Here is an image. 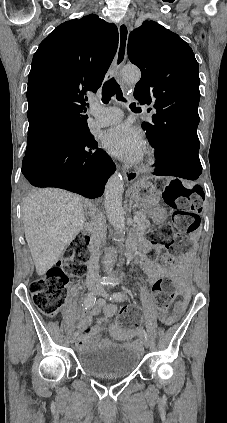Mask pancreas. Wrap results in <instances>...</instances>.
<instances>
[{"instance_id": "pancreas-1", "label": "pancreas", "mask_w": 227, "mask_h": 423, "mask_svg": "<svg viewBox=\"0 0 227 423\" xmlns=\"http://www.w3.org/2000/svg\"><path fill=\"white\" fill-rule=\"evenodd\" d=\"M137 225L139 229H147L150 225L149 219L146 217V211H139V217L137 219Z\"/></svg>"}]
</instances>
